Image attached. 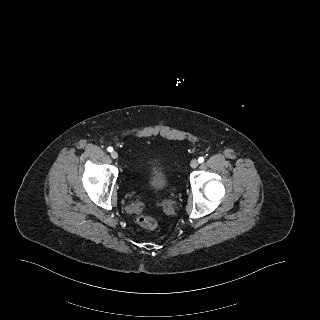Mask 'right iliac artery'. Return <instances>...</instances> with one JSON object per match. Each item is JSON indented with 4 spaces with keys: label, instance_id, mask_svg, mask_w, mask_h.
I'll list each match as a JSON object with an SVG mask.
<instances>
[{
    "label": "right iliac artery",
    "instance_id": "obj_1",
    "mask_svg": "<svg viewBox=\"0 0 320 320\" xmlns=\"http://www.w3.org/2000/svg\"><path fill=\"white\" fill-rule=\"evenodd\" d=\"M107 150H108L109 152H112V151H113V148L110 146V147L107 148Z\"/></svg>",
    "mask_w": 320,
    "mask_h": 320
}]
</instances>
